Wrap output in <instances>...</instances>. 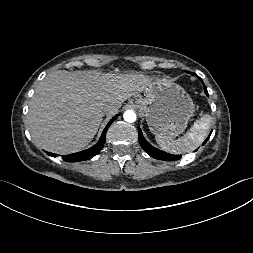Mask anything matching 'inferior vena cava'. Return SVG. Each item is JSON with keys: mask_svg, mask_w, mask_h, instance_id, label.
Listing matches in <instances>:
<instances>
[{"mask_svg": "<svg viewBox=\"0 0 253 253\" xmlns=\"http://www.w3.org/2000/svg\"><path fill=\"white\" fill-rule=\"evenodd\" d=\"M114 110V106L113 105H107L104 109V111L106 113H111Z\"/></svg>", "mask_w": 253, "mask_h": 253, "instance_id": "1", "label": "inferior vena cava"}]
</instances>
